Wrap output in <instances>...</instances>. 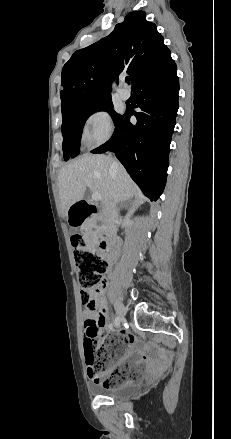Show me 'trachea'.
<instances>
[{
	"label": "trachea",
	"mask_w": 231,
	"mask_h": 439,
	"mask_svg": "<svg viewBox=\"0 0 231 439\" xmlns=\"http://www.w3.org/2000/svg\"><path fill=\"white\" fill-rule=\"evenodd\" d=\"M125 81H126V83H129L130 82V77H126Z\"/></svg>",
	"instance_id": "3493384b"
}]
</instances>
